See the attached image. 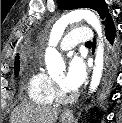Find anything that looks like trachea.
Returning <instances> with one entry per match:
<instances>
[{
  "mask_svg": "<svg viewBox=\"0 0 122 123\" xmlns=\"http://www.w3.org/2000/svg\"><path fill=\"white\" fill-rule=\"evenodd\" d=\"M85 45L86 46H91V42L89 41V42L85 43Z\"/></svg>",
  "mask_w": 122,
  "mask_h": 123,
  "instance_id": "trachea-1",
  "label": "trachea"
}]
</instances>
